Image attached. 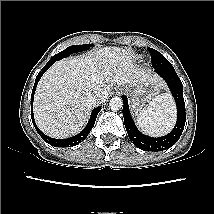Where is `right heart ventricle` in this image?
I'll list each match as a JSON object with an SVG mask.
<instances>
[{
	"label": "right heart ventricle",
	"mask_w": 214,
	"mask_h": 214,
	"mask_svg": "<svg viewBox=\"0 0 214 214\" xmlns=\"http://www.w3.org/2000/svg\"><path fill=\"white\" fill-rule=\"evenodd\" d=\"M140 58H141L140 56H136V57H135L136 60H139Z\"/></svg>",
	"instance_id": "1"
}]
</instances>
